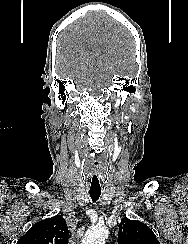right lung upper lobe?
<instances>
[{
    "label": "right lung upper lobe",
    "mask_w": 188,
    "mask_h": 244,
    "mask_svg": "<svg viewBox=\"0 0 188 244\" xmlns=\"http://www.w3.org/2000/svg\"><path fill=\"white\" fill-rule=\"evenodd\" d=\"M68 236L65 219L54 216L35 223L17 244H67Z\"/></svg>",
    "instance_id": "right-lung-upper-lobe-1"
}]
</instances>
